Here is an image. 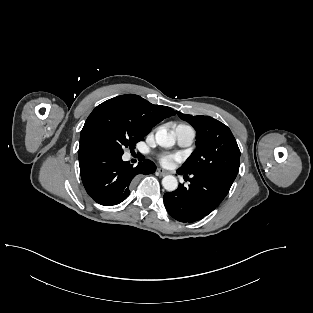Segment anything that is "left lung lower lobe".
I'll return each instance as SVG.
<instances>
[{
  "mask_svg": "<svg viewBox=\"0 0 313 313\" xmlns=\"http://www.w3.org/2000/svg\"><path fill=\"white\" fill-rule=\"evenodd\" d=\"M177 173L186 174L180 168ZM189 181L188 188L180 184L175 191L164 194L168 213L180 222L192 223L209 215L222 202L233 183L217 175H193Z\"/></svg>",
  "mask_w": 313,
  "mask_h": 313,
  "instance_id": "obj_1",
  "label": "left lung lower lobe"
}]
</instances>
